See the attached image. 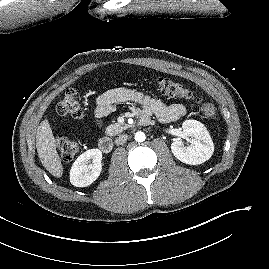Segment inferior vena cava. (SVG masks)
<instances>
[{
    "instance_id": "inferior-vena-cava-1",
    "label": "inferior vena cava",
    "mask_w": 269,
    "mask_h": 269,
    "mask_svg": "<svg viewBox=\"0 0 269 269\" xmlns=\"http://www.w3.org/2000/svg\"><path fill=\"white\" fill-rule=\"evenodd\" d=\"M127 138H128L127 134L120 135L119 137L116 138L115 143L117 145H121L126 142Z\"/></svg>"
}]
</instances>
